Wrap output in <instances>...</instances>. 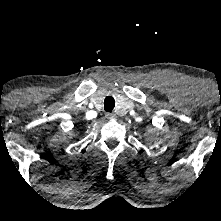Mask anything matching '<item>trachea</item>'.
<instances>
[{
    "instance_id": "3493384b",
    "label": "trachea",
    "mask_w": 221,
    "mask_h": 221,
    "mask_svg": "<svg viewBox=\"0 0 221 221\" xmlns=\"http://www.w3.org/2000/svg\"><path fill=\"white\" fill-rule=\"evenodd\" d=\"M115 107V100L112 96H107L104 100V109L106 112H111Z\"/></svg>"
}]
</instances>
